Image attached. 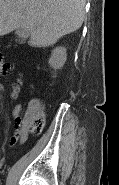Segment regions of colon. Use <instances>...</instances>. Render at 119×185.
<instances>
[{"instance_id": "obj_1", "label": "colon", "mask_w": 119, "mask_h": 185, "mask_svg": "<svg viewBox=\"0 0 119 185\" xmlns=\"http://www.w3.org/2000/svg\"><path fill=\"white\" fill-rule=\"evenodd\" d=\"M26 117L28 120L29 132L32 134L41 133L45 125L44 115L36 111L34 113H27Z\"/></svg>"}]
</instances>
